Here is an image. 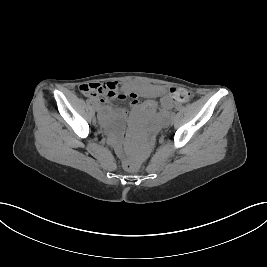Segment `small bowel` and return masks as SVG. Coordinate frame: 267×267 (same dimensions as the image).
I'll return each instance as SVG.
<instances>
[{"label":"small bowel","instance_id":"obj_1","mask_svg":"<svg viewBox=\"0 0 267 267\" xmlns=\"http://www.w3.org/2000/svg\"><path fill=\"white\" fill-rule=\"evenodd\" d=\"M107 87H114L117 89V85L113 82L104 83ZM86 85L80 87V91L84 90ZM132 97V107L135 109H143L148 114H154L157 111V103L153 100L147 101L144 104H140L137 100L138 96L147 97L150 99L160 98V107L162 113L165 114L168 110L172 109L176 105V100L172 97V90L160 85H149L144 83L126 84L124 86ZM95 104L99 106H108L107 101L103 98L92 97ZM120 112H125L119 109Z\"/></svg>","mask_w":267,"mask_h":267}]
</instances>
